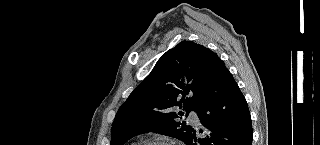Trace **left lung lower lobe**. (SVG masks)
I'll use <instances>...</instances> for the list:
<instances>
[{
  "label": "left lung lower lobe",
  "instance_id": "0a47b994",
  "mask_svg": "<svg viewBox=\"0 0 320 145\" xmlns=\"http://www.w3.org/2000/svg\"><path fill=\"white\" fill-rule=\"evenodd\" d=\"M202 97L197 115L206 135L196 131L186 145H251L253 131L247 102L233 76L220 59L202 83Z\"/></svg>",
  "mask_w": 320,
  "mask_h": 145
}]
</instances>
